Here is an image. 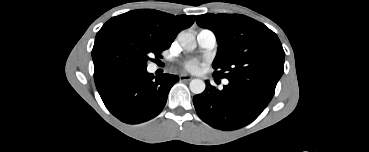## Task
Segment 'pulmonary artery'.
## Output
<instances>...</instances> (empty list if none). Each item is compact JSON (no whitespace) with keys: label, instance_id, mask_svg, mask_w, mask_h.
Masks as SVG:
<instances>
[{"label":"pulmonary artery","instance_id":"pulmonary-artery-1","mask_svg":"<svg viewBox=\"0 0 369 152\" xmlns=\"http://www.w3.org/2000/svg\"><path fill=\"white\" fill-rule=\"evenodd\" d=\"M197 42L202 49L210 51L216 46V35L209 29H202L197 34ZM224 83L227 84L228 81Z\"/></svg>","mask_w":369,"mask_h":152}]
</instances>
